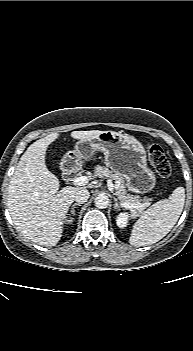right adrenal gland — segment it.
I'll list each match as a JSON object with an SVG mask.
<instances>
[{
    "instance_id": "1",
    "label": "right adrenal gland",
    "mask_w": 193,
    "mask_h": 351,
    "mask_svg": "<svg viewBox=\"0 0 193 351\" xmlns=\"http://www.w3.org/2000/svg\"><path fill=\"white\" fill-rule=\"evenodd\" d=\"M76 206H81V204L80 203H75V204L72 205V207H71V213L72 214H75V210L74 209H75Z\"/></svg>"
}]
</instances>
